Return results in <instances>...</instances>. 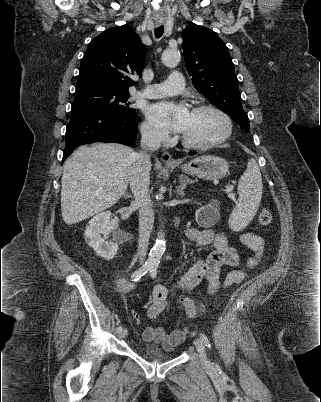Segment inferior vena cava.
<instances>
[{
	"instance_id": "inferior-vena-cava-1",
	"label": "inferior vena cava",
	"mask_w": 321,
	"mask_h": 402,
	"mask_svg": "<svg viewBox=\"0 0 321 402\" xmlns=\"http://www.w3.org/2000/svg\"><path fill=\"white\" fill-rule=\"evenodd\" d=\"M141 134L142 151L136 153L129 182L135 203L139 207L138 253L139 260L142 263L147 253L149 238L154 224V212L150 206L151 199L149 194V153L159 149L163 135L150 127L141 129Z\"/></svg>"
}]
</instances>
